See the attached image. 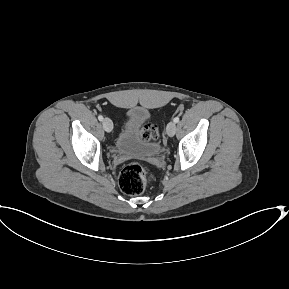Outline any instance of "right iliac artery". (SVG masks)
Segmentation results:
<instances>
[{
	"mask_svg": "<svg viewBox=\"0 0 289 289\" xmlns=\"http://www.w3.org/2000/svg\"><path fill=\"white\" fill-rule=\"evenodd\" d=\"M98 119H99V121H103L104 118H103L102 115H99V116H98Z\"/></svg>",
	"mask_w": 289,
	"mask_h": 289,
	"instance_id": "right-iliac-artery-1",
	"label": "right iliac artery"
}]
</instances>
